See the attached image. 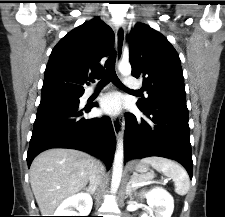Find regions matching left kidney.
I'll list each match as a JSON object with an SVG mask.
<instances>
[{
    "label": "left kidney",
    "instance_id": "1",
    "mask_svg": "<svg viewBox=\"0 0 225 217\" xmlns=\"http://www.w3.org/2000/svg\"><path fill=\"white\" fill-rule=\"evenodd\" d=\"M150 207L141 217H171L174 210L173 197L163 188H155L145 194Z\"/></svg>",
    "mask_w": 225,
    "mask_h": 217
}]
</instances>
